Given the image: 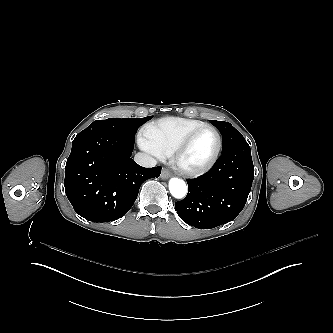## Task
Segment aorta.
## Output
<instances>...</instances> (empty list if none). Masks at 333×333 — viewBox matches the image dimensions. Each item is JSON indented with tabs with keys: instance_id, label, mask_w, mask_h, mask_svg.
Returning a JSON list of instances; mask_svg holds the SVG:
<instances>
[{
	"instance_id": "1",
	"label": "aorta",
	"mask_w": 333,
	"mask_h": 333,
	"mask_svg": "<svg viewBox=\"0 0 333 333\" xmlns=\"http://www.w3.org/2000/svg\"><path fill=\"white\" fill-rule=\"evenodd\" d=\"M169 191L175 199H184L188 193V188L183 180L172 178L169 182Z\"/></svg>"
}]
</instances>
